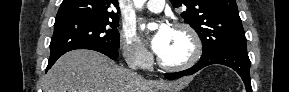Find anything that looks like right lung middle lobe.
Wrapping results in <instances>:
<instances>
[{
	"instance_id": "obj_1",
	"label": "right lung middle lobe",
	"mask_w": 289,
	"mask_h": 92,
	"mask_svg": "<svg viewBox=\"0 0 289 92\" xmlns=\"http://www.w3.org/2000/svg\"><path fill=\"white\" fill-rule=\"evenodd\" d=\"M118 26V18L76 17L56 20L50 43V58L91 46L118 50Z\"/></svg>"
}]
</instances>
